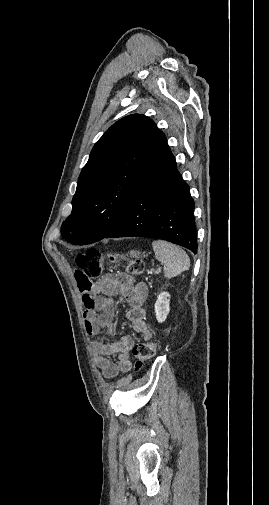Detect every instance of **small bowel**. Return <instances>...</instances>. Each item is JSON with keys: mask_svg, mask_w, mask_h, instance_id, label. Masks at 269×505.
Here are the masks:
<instances>
[{"mask_svg": "<svg viewBox=\"0 0 269 505\" xmlns=\"http://www.w3.org/2000/svg\"><path fill=\"white\" fill-rule=\"evenodd\" d=\"M103 274L102 270L99 281H90L84 268H75L74 278L76 289L81 292L82 301L86 307L83 315L84 326L92 338L95 364L106 379H114L118 374H126L130 371L129 355L134 342L129 335H124L111 343L99 339L101 330H104L107 335L114 334V306L111 297L124 298L128 304L126 319L135 333L149 340L151 332L145 322L144 309L147 287L142 283L134 284L132 278L125 273H110L104 277ZM113 354L118 355L116 363L108 359V356Z\"/></svg>", "mask_w": 269, "mask_h": 505, "instance_id": "c3829d8e", "label": "small bowel"}]
</instances>
